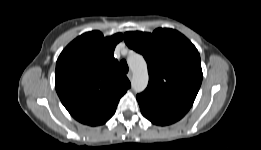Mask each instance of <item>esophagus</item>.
Instances as JSON below:
<instances>
[{"label": "esophagus", "mask_w": 261, "mask_h": 150, "mask_svg": "<svg viewBox=\"0 0 261 150\" xmlns=\"http://www.w3.org/2000/svg\"><path fill=\"white\" fill-rule=\"evenodd\" d=\"M132 76H133V73L130 71V72L127 74V77H128L129 80H131V79H132Z\"/></svg>", "instance_id": "34e87169"}]
</instances>
